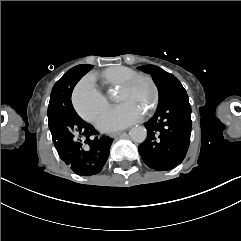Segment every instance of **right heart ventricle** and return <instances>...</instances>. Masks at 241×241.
Returning a JSON list of instances; mask_svg holds the SVG:
<instances>
[{"instance_id": "right-heart-ventricle-1", "label": "right heart ventricle", "mask_w": 241, "mask_h": 241, "mask_svg": "<svg viewBox=\"0 0 241 241\" xmlns=\"http://www.w3.org/2000/svg\"><path fill=\"white\" fill-rule=\"evenodd\" d=\"M132 73H135V72L128 67H124L121 65H113V66L106 68L103 72H101V74L97 77V79L100 80V82L103 85H111V86H116L119 88V87L123 86V85H121V81H122L123 77L128 74H132ZM94 89L100 95V92L98 90V84ZM125 108H127L129 110H135L134 108L129 107V106H127Z\"/></svg>"}]
</instances>
